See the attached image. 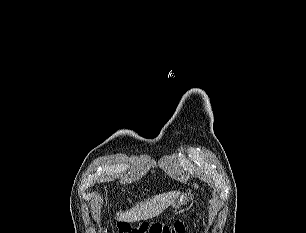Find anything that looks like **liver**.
Instances as JSON below:
<instances>
[{"mask_svg": "<svg viewBox=\"0 0 306 233\" xmlns=\"http://www.w3.org/2000/svg\"><path fill=\"white\" fill-rule=\"evenodd\" d=\"M178 195L179 192L177 191L155 195L152 199L137 203L130 210L117 212L115 218L118 221L134 222L158 216L169 205L173 204Z\"/></svg>", "mask_w": 306, "mask_h": 233, "instance_id": "obj_1", "label": "liver"}]
</instances>
